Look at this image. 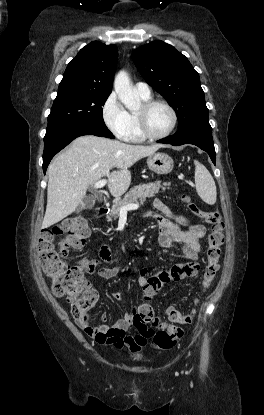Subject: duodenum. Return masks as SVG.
<instances>
[{"label":"duodenum","mask_w":264,"mask_h":415,"mask_svg":"<svg viewBox=\"0 0 264 415\" xmlns=\"http://www.w3.org/2000/svg\"><path fill=\"white\" fill-rule=\"evenodd\" d=\"M106 208H103V207H96L95 209H94V215L96 216V217H101V216H103L105 213H106ZM99 254H100V257L103 259V260H108L109 258H110V251H109V249L107 248V247H105V246H103L101 249H100V252H99Z\"/></svg>","instance_id":"410a0bca"}]
</instances>
